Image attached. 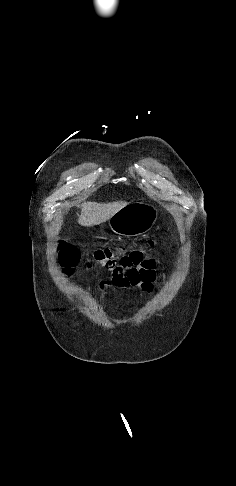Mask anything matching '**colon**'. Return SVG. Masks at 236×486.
<instances>
[{
	"instance_id": "5ec220e1",
	"label": "colon",
	"mask_w": 236,
	"mask_h": 486,
	"mask_svg": "<svg viewBox=\"0 0 236 486\" xmlns=\"http://www.w3.org/2000/svg\"><path fill=\"white\" fill-rule=\"evenodd\" d=\"M123 253V249H99L94 253L93 258L87 262V266L91 268L93 265H99L106 269H116L124 259L139 252H131L128 255H123ZM59 259L65 273L70 274L79 261L78 250L71 245H61Z\"/></svg>"
}]
</instances>
